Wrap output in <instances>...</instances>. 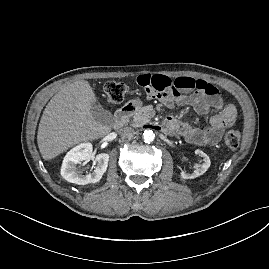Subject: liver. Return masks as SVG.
Segmentation results:
<instances>
[{"label":"liver","instance_id":"liver-1","mask_svg":"<svg viewBox=\"0 0 269 269\" xmlns=\"http://www.w3.org/2000/svg\"><path fill=\"white\" fill-rule=\"evenodd\" d=\"M98 102L88 81L62 88L47 104L41 117L37 143L44 160H50L81 142L104 137L111 125L98 122L92 103Z\"/></svg>","mask_w":269,"mask_h":269}]
</instances>
